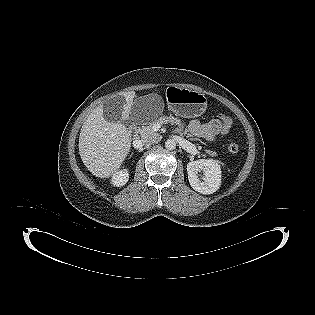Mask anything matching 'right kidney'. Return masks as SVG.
Listing matches in <instances>:
<instances>
[{
	"label": "right kidney",
	"instance_id": "1",
	"mask_svg": "<svg viewBox=\"0 0 315 315\" xmlns=\"http://www.w3.org/2000/svg\"><path fill=\"white\" fill-rule=\"evenodd\" d=\"M128 179H129L128 171L126 169L121 170L113 175L112 184L116 187H122L127 183Z\"/></svg>",
	"mask_w": 315,
	"mask_h": 315
}]
</instances>
